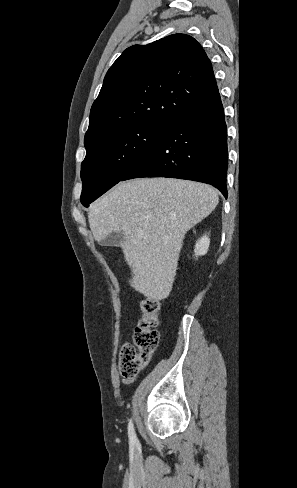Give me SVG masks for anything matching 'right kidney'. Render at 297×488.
Listing matches in <instances>:
<instances>
[{
    "label": "right kidney",
    "mask_w": 297,
    "mask_h": 488,
    "mask_svg": "<svg viewBox=\"0 0 297 488\" xmlns=\"http://www.w3.org/2000/svg\"><path fill=\"white\" fill-rule=\"evenodd\" d=\"M209 244H210V238L206 234L197 240L196 245H195V249H194V253H195L196 258L198 256L205 255L207 253L208 248H209Z\"/></svg>",
    "instance_id": "ca27d5eb"
}]
</instances>
